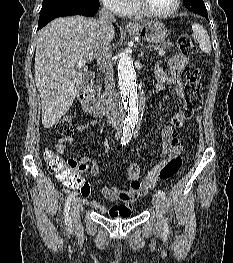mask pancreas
Returning a JSON list of instances; mask_svg holds the SVG:
<instances>
[{"mask_svg":"<svg viewBox=\"0 0 233 263\" xmlns=\"http://www.w3.org/2000/svg\"><path fill=\"white\" fill-rule=\"evenodd\" d=\"M170 46H172V43L169 41H165L159 46H147V48H149L150 50H163L164 48H168ZM95 88L97 90V94L100 95L99 91L101 90V85H97L95 86Z\"/></svg>","mask_w":233,"mask_h":263,"instance_id":"obj_1","label":"pancreas"}]
</instances>
